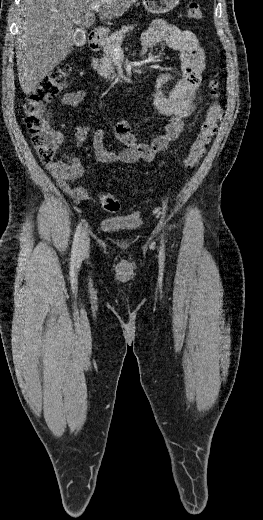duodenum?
<instances>
[{
	"label": "duodenum",
	"instance_id": "duodenum-1",
	"mask_svg": "<svg viewBox=\"0 0 263 520\" xmlns=\"http://www.w3.org/2000/svg\"><path fill=\"white\" fill-rule=\"evenodd\" d=\"M101 34L99 31H93L89 36V47L92 51H98L101 45Z\"/></svg>",
	"mask_w": 263,
	"mask_h": 520
}]
</instances>
